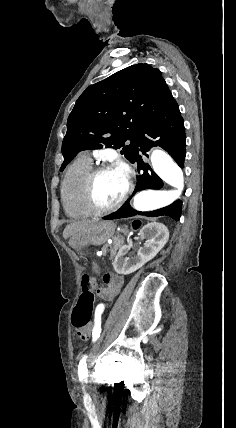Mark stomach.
Listing matches in <instances>:
<instances>
[{
    "label": "stomach",
    "mask_w": 236,
    "mask_h": 428,
    "mask_svg": "<svg viewBox=\"0 0 236 428\" xmlns=\"http://www.w3.org/2000/svg\"><path fill=\"white\" fill-rule=\"evenodd\" d=\"M114 228L112 222H105V220H95L91 224H86L78 236L70 238V246L77 250L80 256H84L82 250L87 246H102L106 240L112 238ZM88 268L93 269L96 266L95 259L91 258L87 263ZM100 267L99 265L97 266ZM98 272L97 270L95 271Z\"/></svg>",
    "instance_id": "stomach-1"
}]
</instances>
